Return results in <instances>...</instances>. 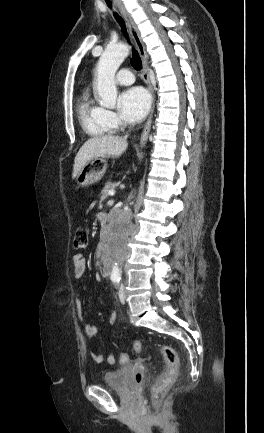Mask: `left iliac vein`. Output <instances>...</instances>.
Here are the masks:
<instances>
[{
	"mask_svg": "<svg viewBox=\"0 0 264 433\" xmlns=\"http://www.w3.org/2000/svg\"><path fill=\"white\" fill-rule=\"evenodd\" d=\"M119 299H120V302L123 303V304L126 301V297H125V294H124V286H123V284H121L120 288H119Z\"/></svg>",
	"mask_w": 264,
	"mask_h": 433,
	"instance_id": "obj_1",
	"label": "left iliac vein"
}]
</instances>
